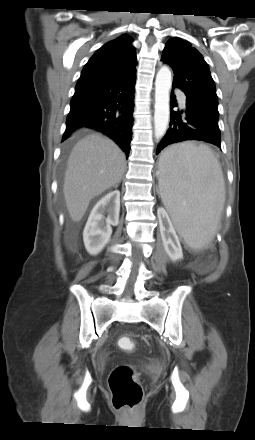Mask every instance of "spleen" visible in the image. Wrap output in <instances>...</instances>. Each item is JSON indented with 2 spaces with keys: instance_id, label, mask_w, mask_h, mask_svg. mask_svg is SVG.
<instances>
[{
  "instance_id": "3e777b00",
  "label": "spleen",
  "mask_w": 255,
  "mask_h": 440,
  "mask_svg": "<svg viewBox=\"0 0 255 440\" xmlns=\"http://www.w3.org/2000/svg\"><path fill=\"white\" fill-rule=\"evenodd\" d=\"M161 199L178 233L193 249L213 240L225 202L221 166L206 145L182 143L162 154Z\"/></svg>"
}]
</instances>
